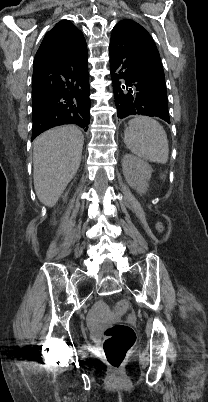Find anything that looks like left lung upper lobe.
<instances>
[{"mask_svg": "<svg viewBox=\"0 0 208 402\" xmlns=\"http://www.w3.org/2000/svg\"><path fill=\"white\" fill-rule=\"evenodd\" d=\"M119 23L131 24L133 26H136L140 31L145 30L141 25L129 19H124ZM139 48L141 56L139 68L142 71L148 72L161 83L165 84V76L160 60V55L152 37L148 35L147 37L142 39L140 41Z\"/></svg>", "mask_w": 208, "mask_h": 402, "instance_id": "5c2ea615", "label": "left lung upper lobe"}]
</instances>
